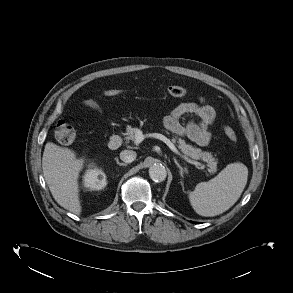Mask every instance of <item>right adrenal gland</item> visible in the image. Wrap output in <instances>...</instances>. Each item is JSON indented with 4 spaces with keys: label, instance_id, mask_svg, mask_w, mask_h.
I'll list each match as a JSON object with an SVG mask.
<instances>
[{
    "label": "right adrenal gland",
    "instance_id": "right-adrenal-gland-1",
    "mask_svg": "<svg viewBox=\"0 0 293 293\" xmlns=\"http://www.w3.org/2000/svg\"><path fill=\"white\" fill-rule=\"evenodd\" d=\"M115 161L119 166H127L126 163H121L118 158H115Z\"/></svg>",
    "mask_w": 293,
    "mask_h": 293
}]
</instances>
